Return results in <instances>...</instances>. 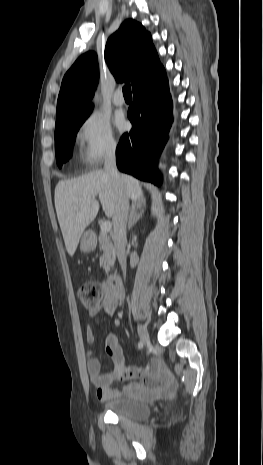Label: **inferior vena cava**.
<instances>
[{
    "label": "inferior vena cava",
    "mask_w": 263,
    "mask_h": 465,
    "mask_svg": "<svg viewBox=\"0 0 263 465\" xmlns=\"http://www.w3.org/2000/svg\"><path fill=\"white\" fill-rule=\"evenodd\" d=\"M105 173L112 179L117 189V203L113 215V240L118 261L126 274V224L129 213V199L123 187L116 167L115 147L110 148L105 155Z\"/></svg>",
    "instance_id": "1"
}]
</instances>
